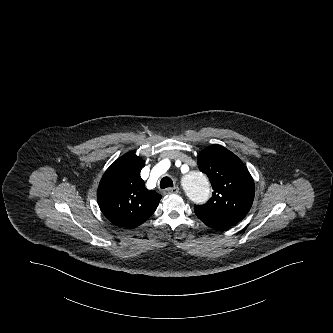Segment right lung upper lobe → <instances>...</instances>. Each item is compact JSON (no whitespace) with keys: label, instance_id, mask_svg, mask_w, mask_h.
Segmentation results:
<instances>
[{"label":"right lung upper lobe","instance_id":"right-lung-upper-lobe-1","mask_svg":"<svg viewBox=\"0 0 333 333\" xmlns=\"http://www.w3.org/2000/svg\"><path fill=\"white\" fill-rule=\"evenodd\" d=\"M145 162L134 153L117 159L104 173L97 191L102 213L114 224L134 228L156 210L161 195L147 190L140 177Z\"/></svg>","mask_w":333,"mask_h":333}]
</instances>
